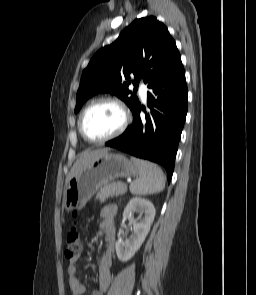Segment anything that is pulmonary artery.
I'll return each instance as SVG.
<instances>
[{
    "instance_id": "obj_1",
    "label": "pulmonary artery",
    "mask_w": 256,
    "mask_h": 295,
    "mask_svg": "<svg viewBox=\"0 0 256 295\" xmlns=\"http://www.w3.org/2000/svg\"><path fill=\"white\" fill-rule=\"evenodd\" d=\"M139 93L143 100H146L147 97V86L144 84L139 85Z\"/></svg>"
}]
</instances>
